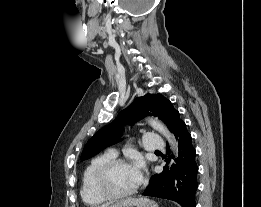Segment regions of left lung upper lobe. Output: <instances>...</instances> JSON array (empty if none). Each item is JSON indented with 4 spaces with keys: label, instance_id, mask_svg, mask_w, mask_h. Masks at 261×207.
I'll use <instances>...</instances> for the list:
<instances>
[{
    "label": "left lung upper lobe",
    "instance_id": "1",
    "mask_svg": "<svg viewBox=\"0 0 261 207\" xmlns=\"http://www.w3.org/2000/svg\"><path fill=\"white\" fill-rule=\"evenodd\" d=\"M147 115L158 116L173 133L181 121L179 112L163 95L146 94L137 97L126 109L118 114L113 122L94 134L85 145L81 160L89 159L106 147L117 143L120 140L125 124H132Z\"/></svg>",
    "mask_w": 261,
    "mask_h": 207
}]
</instances>
